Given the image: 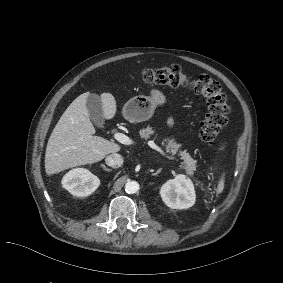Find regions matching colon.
Returning <instances> with one entry per match:
<instances>
[{
  "instance_id": "1",
  "label": "colon",
  "mask_w": 283,
  "mask_h": 283,
  "mask_svg": "<svg viewBox=\"0 0 283 283\" xmlns=\"http://www.w3.org/2000/svg\"><path fill=\"white\" fill-rule=\"evenodd\" d=\"M141 80L147 84L189 88L204 97L207 109L200 122V137L209 146L216 142L229 113L227 94L218 81L206 74L189 78L177 65L147 69L141 73Z\"/></svg>"
}]
</instances>
